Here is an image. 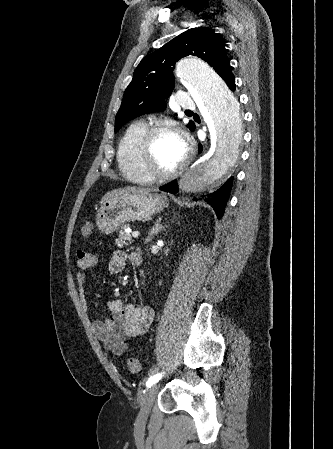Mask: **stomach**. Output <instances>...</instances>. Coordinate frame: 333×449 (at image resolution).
<instances>
[{
    "label": "stomach",
    "instance_id": "stomach-1",
    "mask_svg": "<svg viewBox=\"0 0 333 449\" xmlns=\"http://www.w3.org/2000/svg\"><path fill=\"white\" fill-rule=\"evenodd\" d=\"M167 198L157 193H130L106 200L96 215L98 229L110 234L131 221L147 220L167 206Z\"/></svg>",
    "mask_w": 333,
    "mask_h": 449
}]
</instances>
